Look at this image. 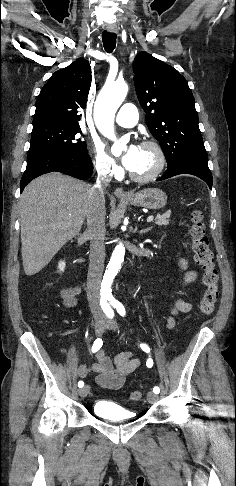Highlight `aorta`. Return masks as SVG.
<instances>
[{
    "label": "aorta",
    "instance_id": "762f6f07",
    "mask_svg": "<svg viewBox=\"0 0 236 486\" xmlns=\"http://www.w3.org/2000/svg\"><path fill=\"white\" fill-rule=\"evenodd\" d=\"M128 92V85L125 82H115L105 84L98 95L95 108L94 118L96 125L104 136L114 141L112 145V153H116L122 149V140H117L114 133V117L117 109L124 101ZM125 248L121 243L117 245L112 253L110 262L107 266L101 283V295L110 296L111 286L115 276L117 275L121 264L124 261Z\"/></svg>",
    "mask_w": 236,
    "mask_h": 486
}]
</instances>
